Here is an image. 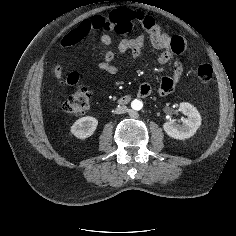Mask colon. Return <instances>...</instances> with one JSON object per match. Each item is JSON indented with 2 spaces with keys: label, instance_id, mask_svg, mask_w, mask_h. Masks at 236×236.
<instances>
[{
  "label": "colon",
  "instance_id": "1",
  "mask_svg": "<svg viewBox=\"0 0 236 236\" xmlns=\"http://www.w3.org/2000/svg\"><path fill=\"white\" fill-rule=\"evenodd\" d=\"M151 17L127 9H118L108 18L96 16L83 22L79 27L67 36L72 43L81 41L91 31H108L111 30L118 35H128L132 32L143 28L144 23ZM213 77V69L209 64H202L197 68V78L201 84H208ZM68 81L72 82L71 79ZM91 100V93L86 86L79 87L71 94L63 104V109L73 115H84Z\"/></svg>",
  "mask_w": 236,
  "mask_h": 236
}]
</instances>
